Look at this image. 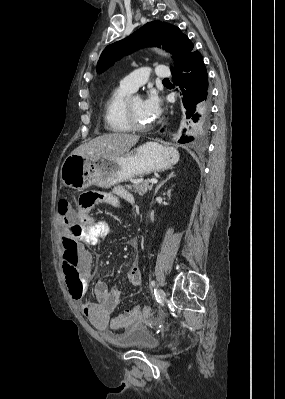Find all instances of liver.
<instances>
[{
  "mask_svg": "<svg viewBox=\"0 0 285 399\" xmlns=\"http://www.w3.org/2000/svg\"><path fill=\"white\" fill-rule=\"evenodd\" d=\"M139 140V136L127 133H108L80 145L72 154L95 160L100 157L115 158L123 156Z\"/></svg>",
  "mask_w": 285,
  "mask_h": 399,
  "instance_id": "6515ba94",
  "label": "liver"
}]
</instances>
